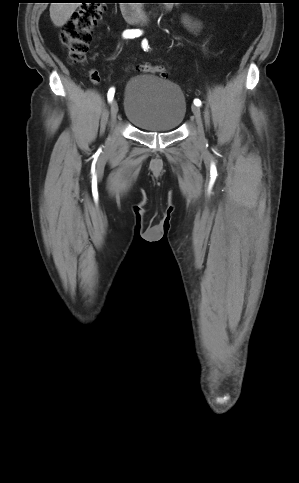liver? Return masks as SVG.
<instances>
[{
  "mask_svg": "<svg viewBox=\"0 0 299 483\" xmlns=\"http://www.w3.org/2000/svg\"><path fill=\"white\" fill-rule=\"evenodd\" d=\"M80 3H51L50 18L57 27H62L72 16Z\"/></svg>",
  "mask_w": 299,
  "mask_h": 483,
  "instance_id": "obj_1",
  "label": "liver"
}]
</instances>
